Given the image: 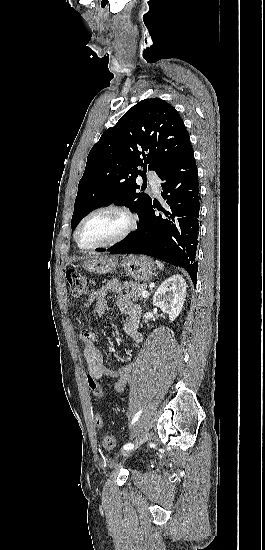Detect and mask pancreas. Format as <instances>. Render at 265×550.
Wrapping results in <instances>:
<instances>
[{
	"label": "pancreas",
	"instance_id": "1",
	"mask_svg": "<svg viewBox=\"0 0 265 550\" xmlns=\"http://www.w3.org/2000/svg\"><path fill=\"white\" fill-rule=\"evenodd\" d=\"M123 288L127 298L133 299V301H138L141 299V293L146 290V284H139L133 282H125Z\"/></svg>",
	"mask_w": 265,
	"mask_h": 550
}]
</instances>
